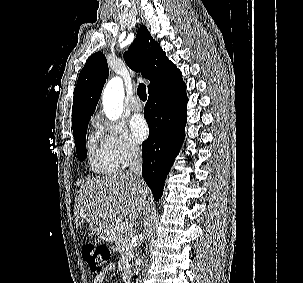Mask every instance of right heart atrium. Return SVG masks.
Instances as JSON below:
<instances>
[{"label":"right heart atrium","mask_w":303,"mask_h":283,"mask_svg":"<svg viewBox=\"0 0 303 283\" xmlns=\"http://www.w3.org/2000/svg\"><path fill=\"white\" fill-rule=\"evenodd\" d=\"M95 127L100 146L118 167L127 165L141 153L140 145L122 123L97 119Z\"/></svg>","instance_id":"obj_1"}]
</instances>
